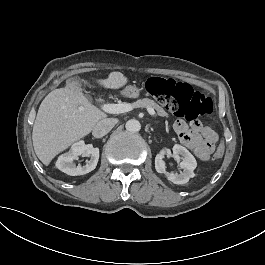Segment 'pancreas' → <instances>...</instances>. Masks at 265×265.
Here are the masks:
<instances>
[{"instance_id":"1","label":"pancreas","mask_w":265,"mask_h":265,"mask_svg":"<svg viewBox=\"0 0 265 265\" xmlns=\"http://www.w3.org/2000/svg\"><path fill=\"white\" fill-rule=\"evenodd\" d=\"M132 105L134 108H152L156 110L159 116H167V113L164 111V109L159 106L154 100H151L149 98L139 99Z\"/></svg>"}]
</instances>
